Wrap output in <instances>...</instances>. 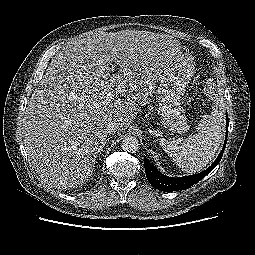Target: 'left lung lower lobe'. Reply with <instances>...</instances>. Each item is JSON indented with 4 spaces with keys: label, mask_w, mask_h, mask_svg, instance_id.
<instances>
[{
    "label": "left lung lower lobe",
    "mask_w": 255,
    "mask_h": 255,
    "mask_svg": "<svg viewBox=\"0 0 255 255\" xmlns=\"http://www.w3.org/2000/svg\"><path fill=\"white\" fill-rule=\"evenodd\" d=\"M228 116L226 114V138L223 145V148L218 155L217 159L214 161V163L207 168L206 170L190 176H184V177H168L164 174H162L156 167H154L147 158L144 159V166H145V173L148 181L151 183V185L161 191L164 192H171V191H177V190H185L192 185L199 182L202 178H204L206 175H208L215 166L220 162L226 142H227V136H228Z\"/></svg>",
    "instance_id": "left-lung-lower-lobe-1"
}]
</instances>
